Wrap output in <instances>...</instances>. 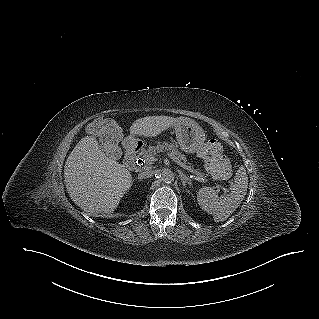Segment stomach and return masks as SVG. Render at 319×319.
I'll list each match as a JSON object with an SVG mask.
<instances>
[{"mask_svg":"<svg viewBox=\"0 0 319 319\" xmlns=\"http://www.w3.org/2000/svg\"><path fill=\"white\" fill-rule=\"evenodd\" d=\"M174 126L178 144L184 152L193 154L200 150L205 141V133L198 123L181 118Z\"/></svg>","mask_w":319,"mask_h":319,"instance_id":"obj_1","label":"stomach"}]
</instances>
